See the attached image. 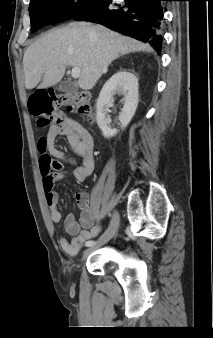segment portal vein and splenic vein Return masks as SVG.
<instances>
[{"instance_id":"1","label":"portal vein and splenic vein","mask_w":213,"mask_h":338,"mask_svg":"<svg viewBox=\"0 0 213 338\" xmlns=\"http://www.w3.org/2000/svg\"><path fill=\"white\" fill-rule=\"evenodd\" d=\"M80 74H81L80 68H78V67L72 68L71 75H72V77H73L74 79L79 78V77H80Z\"/></svg>"}]
</instances>
